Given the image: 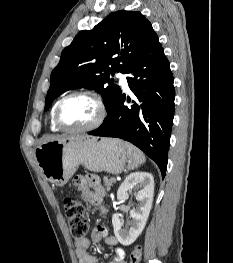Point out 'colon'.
Instances as JSON below:
<instances>
[{
  "instance_id": "1",
  "label": "colon",
  "mask_w": 233,
  "mask_h": 263,
  "mask_svg": "<svg viewBox=\"0 0 233 263\" xmlns=\"http://www.w3.org/2000/svg\"><path fill=\"white\" fill-rule=\"evenodd\" d=\"M64 211L68 221L71 236L76 240L85 238L88 231V223L84 214V207L77 200L67 197L64 200ZM142 259V247L136 245L130 254V263H140Z\"/></svg>"
}]
</instances>
